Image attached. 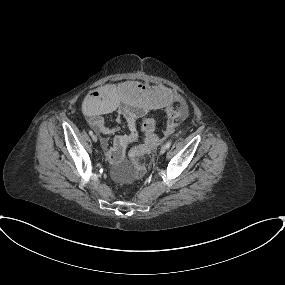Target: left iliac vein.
Listing matches in <instances>:
<instances>
[{
  "label": "left iliac vein",
  "instance_id": "left-iliac-vein-1",
  "mask_svg": "<svg viewBox=\"0 0 285 285\" xmlns=\"http://www.w3.org/2000/svg\"><path fill=\"white\" fill-rule=\"evenodd\" d=\"M166 150H167L166 145H163L160 149V154H164L166 152Z\"/></svg>",
  "mask_w": 285,
  "mask_h": 285
}]
</instances>
